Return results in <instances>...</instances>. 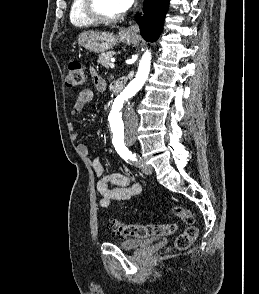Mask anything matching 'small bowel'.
<instances>
[{
    "mask_svg": "<svg viewBox=\"0 0 259 294\" xmlns=\"http://www.w3.org/2000/svg\"><path fill=\"white\" fill-rule=\"evenodd\" d=\"M93 83L97 91L103 92L106 90L105 80L97 75L95 70H91ZM94 97V92L90 88L82 89L73 104L72 114L76 115L82 111L86 104L91 102ZM72 137L76 138V133L73 127L70 128ZM78 151L85 157L90 159V164L99 177L97 182V191L100 194L99 205L103 208L109 207L114 201H126L132 197L140 194L141 186L138 183L132 182V173L129 169L125 168L122 173L113 172L106 174L105 167L99 157L91 158L90 150L86 144H78ZM113 185V188H110Z\"/></svg>",
    "mask_w": 259,
    "mask_h": 294,
    "instance_id": "c3829d8e",
    "label": "small bowel"
}]
</instances>
